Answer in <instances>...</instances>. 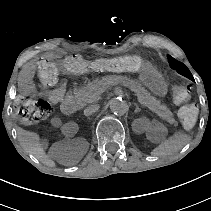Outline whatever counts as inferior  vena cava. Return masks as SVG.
Masks as SVG:
<instances>
[{"instance_id":"inferior-vena-cava-1","label":"inferior vena cava","mask_w":211,"mask_h":211,"mask_svg":"<svg viewBox=\"0 0 211 211\" xmlns=\"http://www.w3.org/2000/svg\"><path fill=\"white\" fill-rule=\"evenodd\" d=\"M100 109L99 105L91 104L84 108V115L86 117L91 116L92 114L96 113Z\"/></svg>"}]
</instances>
